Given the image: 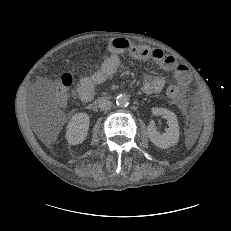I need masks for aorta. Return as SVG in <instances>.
<instances>
[{
    "label": "aorta",
    "mask_w": 231,
    "mask_h": 231,
    "mask_svg": "<svg viewBox=\"0 0 231 231\" xmlns=\"http://www.w3.org/2000/svg\"><path fill=\"white\" fill-rule=\"evenodd\" d=\"M116 104L119 107H126L129 104V98L125 94H120L116 98Z\"/></svg>",
    "instance_id": "obj_1"
}]
</instances>
